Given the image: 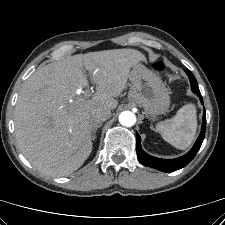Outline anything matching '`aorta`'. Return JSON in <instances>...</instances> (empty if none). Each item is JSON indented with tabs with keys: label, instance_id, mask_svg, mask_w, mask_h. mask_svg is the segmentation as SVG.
I'll use <instances>...</instances> for the list:
<instances>
[{
	"label": "aorta",
	"instance_id": "aorta-1",
	"mask_svg": "<svg viewBox=\"0 0 225 225\" xmlns=\"http://www.w3.org/2000/svg\"><path fill=\"white\" fill-rule=\"evenodd\" d=\"M119 122L125 127H131L136 123V116L131 111H123L119 115Z\"/></svg>",
	"mask_w": 225,
	"mask_h": 225
}]
</instances>
